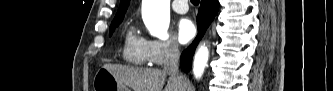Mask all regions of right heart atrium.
Listing matches in <instances>:
<instances>
[{
	"instance_id": "right-heart-atrium-1",
	"label": "right heart atrium",
	"mask_w": 333,
	"mask_h": 91,
	"mask_svg": "<svg viewBox=\"0 0 333 91\" xmlns=\"http://www.w3.org/2000/svg\"><path fill=\"white\" fill-rule=\"evenodd\" d=\"M148 62L152 65H163L175 60L180 54L178 42L173 38L145 40Z\"/></svg>"
}]
</instances>
